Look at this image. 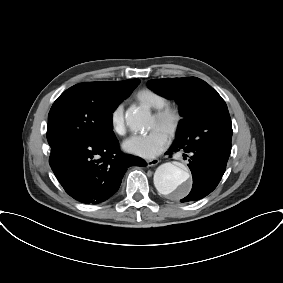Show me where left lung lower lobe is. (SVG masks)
Returning a JSON list of instances; mask_svg holds the SVG:
<instances>
[{"mask_svg":"<svg viewBox=\"0 0 283 283\" xmlns=\"http://www.w3.org/2000/svg\"><path fill=\"white\" fill-rule=\"evenodd\" d=\"M191 136V135H190ZM184 152L189 157V168L193 176V186L188 196L181 202L201 199L211 193L220 182L229 158L227 153H213L196 144L195 139L175 140L166 154Z\"/></svg>","mask_w":283,"mask_h":283,"instance_id":"obj_1","label":"left lung lower lobe"}]
</instances>
